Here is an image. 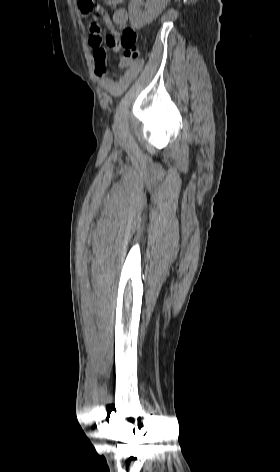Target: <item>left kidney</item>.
<instances>
[{"mask_svg":"<svg viewBox=\"0 0 280 472\" xmlns=\"http://www.w3.org/2000/svg\"><path fill=\"white\" fill-rule=\"evenodd\" d=\"M141 5H145L146 11L141 12ZM164 0H131L129 5L130 23L133 28L139 29L151 23L161 12Z\"/></svg>","mask_w":280,"mask_h":472,"instance_id":"5707ae66","label":"left kidney"}]
</instances>
